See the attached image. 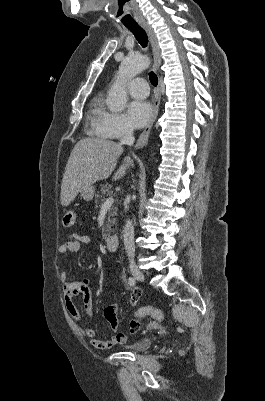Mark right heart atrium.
<instances>
[{
    "label": "right heart atrium",
    "mask_w": 265,
    "mask_h": 401,
    "mask_svg": "<svg viewBox=\"0 0 265 401\" xmlns=\"http://www.w3.org/2000/svg\"><path fill=\"white\" fill-rule=\"evenodd\" d=\"M102 123L107 132L116 138L130 136L134 130L131 123L119 113L106 112L102 116Z\"/></svg>",
    "instance_id": "1"
}]
</instances>
